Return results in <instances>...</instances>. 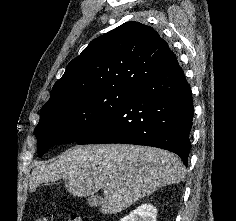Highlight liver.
I'll return each mask as SVG.
<instances>
[{"label": "liver", "mask_w": 236, "mask_h": 221, "mask_svg": "<svg viewBox=\"0 0 236 221\" xmlns=\"http://www.w3.org/2000/svg\"><path fill=\"white\" fill-rule=\"evenodd\" d=\"M182 161L166 150L127 144L73 147L33 169L30 190L41 183L67 181L73 196H92L103 189L100 211L116 214L144 196L185 178Z\"/></svg>", "instance_id": "1"}]
</instances>
